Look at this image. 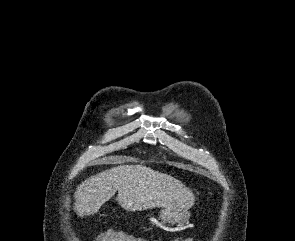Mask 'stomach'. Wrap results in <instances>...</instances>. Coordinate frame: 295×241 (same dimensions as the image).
Returning a JSON list of instances; mask_svg holds the SVG:
<instances>
[{
  "instance_id": "0dacf381",
  "label": "stomach",
  "mask_w": 295,
  "mask_h": 241,
  "mask_svg": "<svg viewBox=\"0 0 295 241\" xmlns=\"http://www.w3.org/2000/svg\"><path fill=\"white\" fill-rule=\"evenodd\" d=\"M190 214L187 210L163 208L160 211L159 218L165 223L176 224L186 223L189 220Z\"/></svg>"
}]
</instances>
